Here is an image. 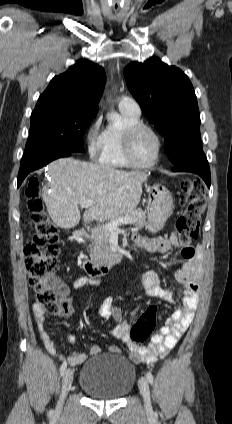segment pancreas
Segmentation results:
<instances>
[{
	"mask_svg": "<svg viewBox=\"0 0 232 424\" xmlns=\"http://www.w3.org/2000/svg\"><path fill=\"white\" fill-rule=\"evenodd\" d=\"M124 217H131L135 219V221L131 224L134 225L136 229H141L146 225V213L141 209H135L134 211L124 213L121 216L110 220V222ZM110 237L111 232L104 226L92 229L89 240L92 243V245H90V256L93 261L101 263L110 258Z\"/></svg>",
	"mask_w": 232,
	"mask_h": 424,
	"instance_id": "cf45deb5",
	"label": "pancreas"
}]
</instances>
